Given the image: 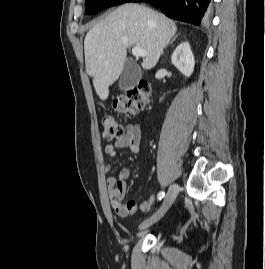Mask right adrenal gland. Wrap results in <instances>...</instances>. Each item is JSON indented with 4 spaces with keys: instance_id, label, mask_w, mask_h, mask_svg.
<instances>
[{
    "instance_id": "1",
    "label": "right adrenal gland",
    "mask_w": 265,
    "mask_h": 269,
    "mask_svg": "<svg viewBox=\"0 0 265 269\" xmlns=\"http://www.w3.org/2000/svg\"><path fill=\"white\" fill-rule=\"evenodd\" d=\"M179 35V34H178ZM178 35H176L172 40H171V42L169 43V45H171L174 41H175V39L178 37Z\"/></svg>"
}]
</instances>
